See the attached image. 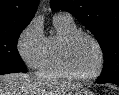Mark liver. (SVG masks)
Masks as SVG:
<instances>
[{
	"instance_id": "1",
	"label": "liver",
	"mask_w": 119,
	"mask_h": 95,
	"mask_svg": "<svg viewBox=\"0 0 119 95\" xmlns=\"http://www.w3.org/2000/svg\"><path fill=\"white\" fill-rule=\"evenodd\" d=\"M80 87L76 83L42 75L10 73L0 75V95H66Z\"/></svg>"
}]
</instances>
